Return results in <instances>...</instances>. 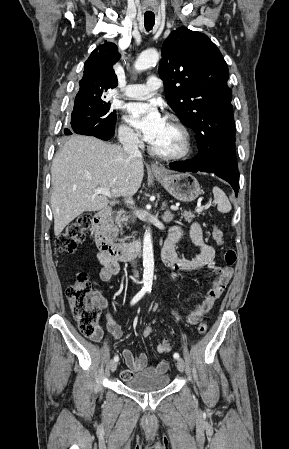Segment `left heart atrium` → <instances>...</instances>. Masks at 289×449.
Segmentation results:
<instances>
[{"instance_id":"left-heart-atrium-1","label":"left heart atrium","mask_w":289,"mask_h":449,"mask_svg":"<svg viewBox=\"0 0 289 449\" xmlns=\"http://www.w3.org/2000/svg\"><path fill=\"white\" fill-rule=\"evenodd\" d=\"M126 112L127 121L140 131L148 143H152L164 127L165 119L154 103H130Z\"/></svg>"}]
</instances>
